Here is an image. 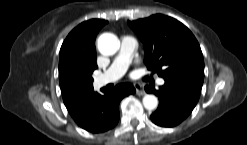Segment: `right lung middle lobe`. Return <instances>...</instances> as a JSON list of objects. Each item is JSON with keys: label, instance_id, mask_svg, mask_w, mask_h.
Listing matches in <instances>:
<instances>
[{"label": "right lung middle lobe", "instance_id": "1", "mask_svg": "<svg viewBox=\"0 0 247 145\" xmlns=\"http://www.w3.org/2000/svg\"><path fill=\"white\" fill-rule=\"evenodd\" d=\"M95 68L78 64L66 65L59 71L60 87L63 99L77 98L93 89L92 73Z\"/></svg>", "mask_w": 247, "mask_h": 145}]
</instances>
